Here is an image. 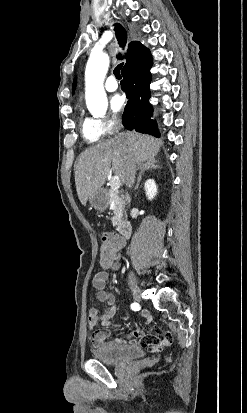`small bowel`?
I'll list each match as a JSON object with an SVG mask.
<instances>
[{
    "instance_id": "small-bowel-1",
    "label": "small bowel",
    "mask_w": 247,
    "mask_h": 413,
    "mask_svg": "<svg viewBox=\"0 0 247 413\" xmlns=\"http://www.w3.org/2000/svg\"><path fill=\"white\" fill-rule=\"evenodd\" d=\"M120 262L118 256L115 254L113 261L102 270L98 271L93 280L92 285L96 289V298L99 302L105 303L106 307L103 312L99 311V308L94 304L88 311V327L90 330H95L92 337V345L95 348L102 347L103 349H111L113 347V342L108 340L110 333L107 330H96L97 327L102 326L104 328H109L112 326V319L117 311V304L115 296L106 290V283L108 280V268L116 271L120 268ZM142 316L149 322L152 318L151 313L148 310H142ZM137 329L141 328L140 324L136 325ZM151 329L156 331V334L146 335L144 330H129L128 336L130 341H134L135 337H144L145 340L137 343L138 347L142 349H167L169 343L174 341L173 332L169 331L165 334L163 329H160V324L158 322H153L151 324ZM118 347H134V342H126L122 339H116Z\"/></svg>"
}]
</instances>
